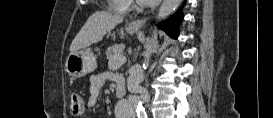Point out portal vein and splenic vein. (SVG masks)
I'll return each mask as SVG.
<instances>
[{
	"mask_svg": "<svg viewBox=\"0 0 273 118\" xmlns=\"http://www.w3.org/2000/svg\"><path fill=\"white\" fill-rule=\"evenodd\" d=\"M112 60H113V61H118L119 64H123V63L126 62V58H125L124 56H122V55H120V56H115V57L112 58Z\"/></svg>",
	"mask_w": 273,
	"mask_h": 118,
	"instance_id": "obj_1",
	"label": "portal vein and splenic vein"
}]
</instances>
